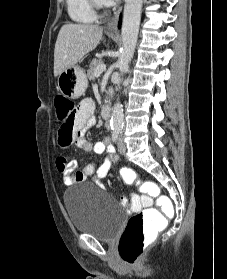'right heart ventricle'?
I'll list each match as a JSON object with an SVG mask.
<instances>
[{"mask_svg":"<svg viewBox=\"0 0 227 279\" xmlns=\"http://www.w3.org/2000/svg\"><path fill=\"white\" fill-rule=\"evenodd\" d=\"M69 17L78 23H91L96 20L88 0H66Z\"/></svg>","mask_w":227,"mask_h":279,"instance_id":"right-heart-ventricle-1","label":"right heart ventricle"}]
</instances>
